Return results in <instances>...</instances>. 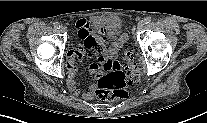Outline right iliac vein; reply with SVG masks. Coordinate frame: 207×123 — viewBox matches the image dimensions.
Returning <instances> with one entry per match:
<instances>
[{
  "instance_id": "63e3f726",
  "label": "right iliac vein",
  "mask_w": 207,
  "mask_h": 123,
  "mask_svg": "<svg viewBox=\"0 0 207 123\" xmlns=\"http://www.w3.org/2000/svg\"><path fill=\"white\" fill-rule=\"evenodd\" d=\"M60 31L63 32V33H65V32L67 31V29H66L65 26H61V27H60Z\"/></svg>"
}]
</instances>
